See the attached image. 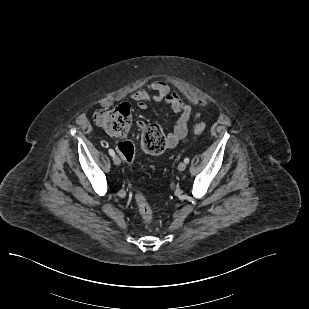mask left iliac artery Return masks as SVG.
Returning <instances> with one entry per match:
<instances>
[{"instance_id": "obj_1", "label": "left iliac artery", "mask_w": 309, "mask_h": 309, "mask_svg": "<svg viewBox=\"0 0 309 309\" xmlns=\"http://www.w3.org/2000/svg\"><path fill=\"white\" fill-rule=\"evenodd\" d=\"M189 161H190L189 158H185V159H184V162L187 163V164L189 163Z\"/></svg>"}]
</instances>
